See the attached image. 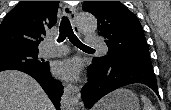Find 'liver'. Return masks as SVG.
Masks as SVG:
<instances>
[{
  "label": "liver",
  "instance_id": "obj_1",
  "mask_svg": "<svg viewBox=\"0 0 171 110\" xmlns=\"http://www.w3.org/2000/svg\"><path fill=\"white\" fill-rule=\"evenodd\" d=\"M102 103L96 105L98 110ZM0 110H55L41 86L29 75L17 71L0 72Z\"/></svg>",
  "mask_w": 171,
  "mask_h": 110
}]
</instances>
